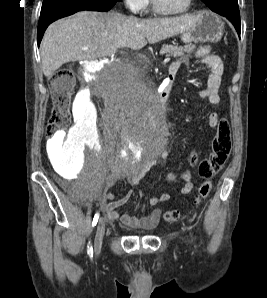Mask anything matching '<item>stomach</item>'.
<instances>
[{"mask_svg": "<svg viewBox=\"0 0 267 298\" xmlns=\"http://www.w3.org/2000/svg\"><path fill=\"white\" fill-rule=\"evenodd\" d=\"M198 22L193 29L181 33V39L185 43L192 42H217L224 33V22L211 12H201L198 14Z\"/></svg>", "mask_w": 267, "mask_h": 298, "instance_id": "1", "label": "stomach"}]
</instances>
